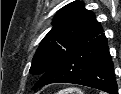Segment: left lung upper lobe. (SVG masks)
<instances>
[{"mask_svg":"<svg viewBox=\"0 0 121 94\" xmlns=\"http://www.w3.org/2000/svg\"><path fill=\"white\" fill-rule=\"evenodd\" d=\"M52 24L33 57L32 74H44L62 58L103 33L94 13L79 1L60 9Z\"/></svg>","mask_w":121,"mask_h":94,"instance_id":"5c2ea615","label":"left lung upper lobe"}]
</instances>
